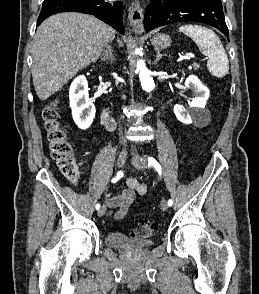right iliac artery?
<instances>
[{
	"mask_svg": "<svg viewBox=\"0 0 259 294\" xmlns=\"http://www.w3.org/2000/svg\"><path fill=\"white\" fill-rule=\"evenodd\" d=\"M121 177H123V171H119L117 173V176L112 179V182H117ZM96 209L98 210L100 208V204H96Z\"/></svg>",
	"mask_w": 259,
	"mask_h": 294,
	"instance_id": "82829eb1",
	"label": "right iliac artery"
}]
</instances>
